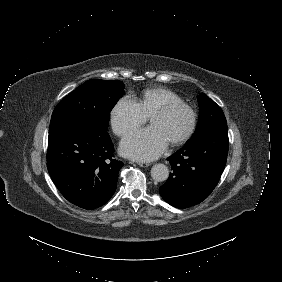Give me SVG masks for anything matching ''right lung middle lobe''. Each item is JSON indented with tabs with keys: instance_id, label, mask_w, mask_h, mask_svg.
Instances as JSON below:
<instances>
[{
	"instance_id": "dd1d6c3e",
	"label": "right lung middle lobe",
	"mask_w": 282,
	"mask_h": 282,
	"mask_svg": "<svg viewBox=\"0 0 282 282\" xmlns=\"http://www.w3.org/2000/svg\"><path fill=\"white\" fill-rule=\"evenodd\" d=\"M124 94V84L116 80H88L64 97L56 106L49 132L81 122L107 133L110 112Z\"/></svg>"
}]
</instances>
